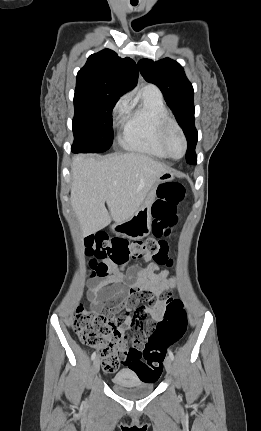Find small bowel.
<instances>
[{"label": "small bowel", "instance_id": "c3829d8e", "mask_svg": "<svg viewBox=\"0 0 261 431\" xmlns=\"http://www.w3.org/2000/svg\"><path fill=\"white\" fill-rule=\"evenodd\" d=\"M144 260L149 261L150 258ZM106 265L107 273L103 276L92 273L93 279L87 285V298L91 308L93 312L99 313L105 308L104 301L108 305L114 304V310L122 303L125 310L119 313L121 321L118 329L123 334L129 332L134 339L133 348L140 349L155 331L148 316L155 322H159L164 316L165 305L156 301L159 294L174 285V277L168 270L155 274L160 266L156 262H151L146 267L131 266L126 272L111 262ZM108 315L117 318L118 312L111 311Z\"/></svg>", "mask_w": 261, "mask_h": 431}]
</instances>
